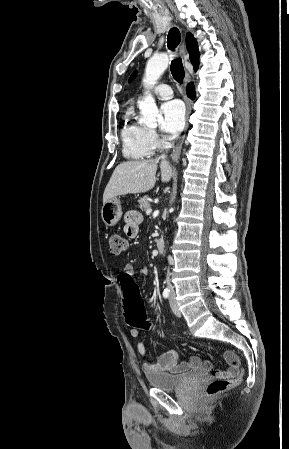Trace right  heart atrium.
<instances>
[{
	"label": "right heart atrium",
	"mask_w": 289,
	"mask_h": 449,
	"mask_svg": "<svg viewBox=\"0 0 289 449\" xmlns=\"http://www.w3.org/2000/svg\"><path fill=\"white\" fill-rule=\"evenodd\" d=\"M147 137L153 148L157 147L160 144V138L154 130L147 129Z\"/></svg>",
	"instance_id": "right-heart-atrium-1"
}]
</instances>
